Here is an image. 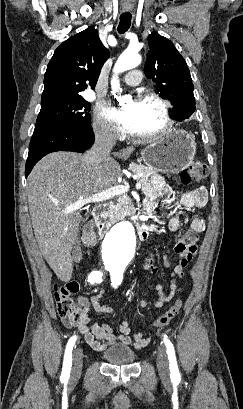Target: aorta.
<instances>
[{"label": "aorta", "mask_w": 243, "mask_h": 409, "mask_svg": "<svg viewBox=\"0 0 243 409\" xmlns=\"http://www.w3.org/2000/svg\"><path fill=\"white\" fill-rule=\"evenodd\" d=\"M141 62V57L137 52L125 51L118 58L115 66V76L111 81L112 89H119L117 74L137 67ZM120 102H125V98H119ZM135 245V228L130 221H123L116 224L106 234L102 250L104 256L109 261H114L130 256Z\"/></svg>", "instance_id": "aorta-1"}]
</instances>
